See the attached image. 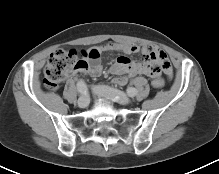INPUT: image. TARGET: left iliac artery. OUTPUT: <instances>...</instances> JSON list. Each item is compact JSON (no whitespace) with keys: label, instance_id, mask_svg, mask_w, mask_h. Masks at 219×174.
Here are the masks:
<instances>
[{"label":"left iliac artery","instance_id":"left-iliac-artery-1","mask_svg":"<svg viewBox=\"0 0 219 174\" xmlns=\"http://www.w3.org/2000/svg\"><path fill=\"white\" fill-rule=\"evenodd\" d=\"M127 94L131 97L135 96L137 94V90L134 87H129L127 89Z\"/></svg>","mask_w":219,"mask_h":174}]
</instances>
